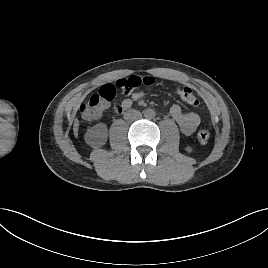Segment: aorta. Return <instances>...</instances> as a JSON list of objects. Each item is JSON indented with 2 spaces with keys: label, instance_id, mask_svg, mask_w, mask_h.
Returning <instances> with one entry per match:
<instances>
[{
  "label": "aorta",
  "instance_id": "obj_1",
  "mask_svg": "<svg viewBox=\"0 0 268 268\" xmlns=\"http://www.w3.org/2000/svg\"><path fill=\"white\" fill-rule=\"evenodd\" d=\"M144 117L146 119H153L155 117V111L153 109H146L144 111Z\"/></svg>",
  "mask_w": 268,
  "mask_h": 268
}]
</instances>
